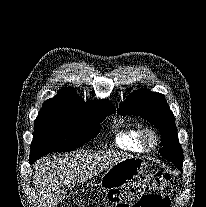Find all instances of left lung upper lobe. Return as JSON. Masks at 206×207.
Here are the masks:
<instances>
[{
  "label": "left lung upper lobe",
  "mask_w": 206,
  "mask_h": 207,
  "mask_svg": "<svg viewBox=\"0 0 206 207\" xmlns=\"http://www.w3.org/2000/svg\"><path fill=\"white\" fill-rule=\"evenodd\" d=\"M119 113L141 116L154 124L161 132L163 148L160 153L178 168L182 167L183 152L178 141L175 118L164 95L151 92L147 88L139 89L120 105Z\"/></svg>",
  "instance_id": "obj_1"
}]
</instances>
